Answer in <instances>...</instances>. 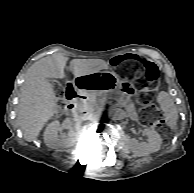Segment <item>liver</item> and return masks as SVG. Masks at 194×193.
Segmentation results:
<instances>
[{
  "mask_svg": "<svg viewBox=\"0 0 194 193\" xmlns=\"http://www.w3.org/2000/svg\"><path fill=\"white\" fill-rule=\"evenodd\" d=\"M68 57L53 54L35 62L27 71L21 87L17 121L27 141L35 140L44 125L58 115L59 97L56 96L48 78L63 79ZM108 69L102 59H73L70 70L74 76L89 74Z\"/></svg>",
  "mask_w": 194,
  "mask_h": 193,
  "instance_id": "6515ba94",
  "label": "liver"
}]
</instances>
